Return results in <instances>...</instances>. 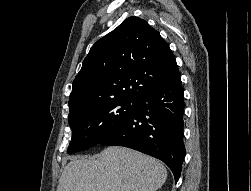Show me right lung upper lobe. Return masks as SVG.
Masks as SVG:
<instances>
[{"label": "right lung upper lobe", "mask_w": 251, "mask_h": 191, "mask_svg": "<svg viewBox=\"0 0 251 191\" xmlns=\"http://www.w3.org/2000/svg\"><path fill=\"white\" fill-rule=\"evenodd\" d=\"M178 74L175 56L159 32L129 17L90 49L73 81L69 110L117 99L136 101Z\"/></svg>", "instance_id": "1"}]
</instances>
